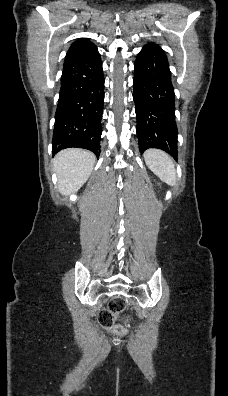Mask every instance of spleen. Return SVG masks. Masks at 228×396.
I'll use <instances>...</instances> for the list:
<instances>
[{
  "mask_svg": "<svg viewBox=\"0 0 228 396\" xmlns=\"http://www.w3.org/2000/svg\"><path fill=\"white\" fill-rule=\"evenodd\" d=\"M144 159L151 171L163 182L170 186L176 185L175 165L168 154L159 149H149L144 153Z\"/></svg>",
  "mask_w": 228,
  "mask_h": 396,
  "instance_id": "1",
  "label": "spleen"
}]
</instances>
